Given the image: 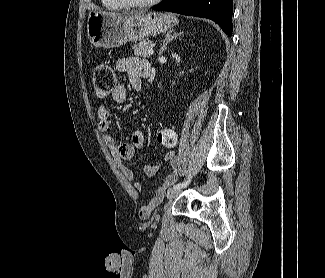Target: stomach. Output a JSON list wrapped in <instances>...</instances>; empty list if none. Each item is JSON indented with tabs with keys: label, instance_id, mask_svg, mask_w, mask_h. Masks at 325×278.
<instances>
[{
	"label": "stomach",
	"instance_id": "0dacf381",
	"mask_svg": "<svg viewBox=\"0 0 325 278\" xmlns=\"http://www.w3.org/2000/svg\"><path fill=\"white\" fill-rule=\"evenodd\" d=\"M178 23L172 14L149 12L128 17L91 12L87 21V36L92 45L116 48L128 41H142L171 29Z\"/></svg>",
	"mask_w": 325,
	"mask_h": 278
}]
</instances>
